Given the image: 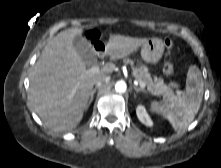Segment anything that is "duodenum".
I'll list each match as a JSON object with an SVG mask.
<instances>
[{"instance_id":"410a0bca","label":"duodenum","mask_w":221,"mask_h":168,"mask_svg":"<svg viewBox=\"0 0 221 168\" xmlns=\"http://www.w3.org/2000/svg\"><path fill=\"white\" fill-rule=\"evenodd\" d=\"M95 51L99 56H102L105 53V45L101 41H97L94 44Z\"/></svg>"}]
</instances>
